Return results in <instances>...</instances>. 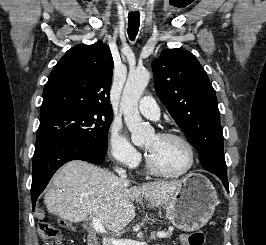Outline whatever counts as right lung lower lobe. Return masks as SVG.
<instances>
[{
  "label": "right lung lower lobe",
  "instance_id": "98d812e1",
  "mask_svg": "<svg viewBox=\"0 0 266 245\" xmlns=\"http://www.w3.org/2000/svg\"><path fill=\"white\" fill-rule=\"evenodd\" d=\"M75 159L98 164L104 161L105 154L68 138H56L36 145L33 156L31 186L33 211L38 196L45 189L56 170L66 162Z\"/></svg>",
  "mask_w": 266,
  "mask_h": 245
}]
</instances>
